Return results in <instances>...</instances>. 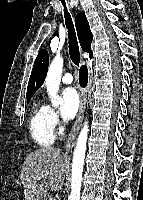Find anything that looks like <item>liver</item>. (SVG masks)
Instances as JSON below:
<instances>
[{
    "mask_svg": "<svg viewBox=\"0 0 143 200\" xmlns=\"http://www.w3.org/2000/svg\"><path fill=\"white\" fill-rule=\"evenodd\" d=\"M66 165L59 148L44 147L28 154L20 173L25 200H42L49 190L60 191L67 172ZM45 170L47 175H44Z\"/></svg>",
    "mask_w": 143,
    "mask_h": 200,
    "instance_id": "6515ba94",
    "label": "liver"
}]
</instances>
